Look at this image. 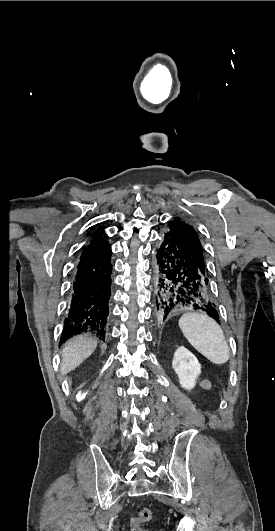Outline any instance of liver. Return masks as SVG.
I'll return each instance as SVG.
<instances>
[{
    "label": "liver",
    "mask_w": 275,
    "mask_h": 531,
    "mask_svg": "<svg viewBox=\"0 0 275 531\" xmlns=\"http://www.w3.org/2000/svg\"><path fill=\"white\" fill-rule=\"evenodd\" d=\"M96 347V339L89 335H77L74 339H70L62 351L61 375L74 371L94 353Z\"/></svg>",
    "instance_id": "1"
}]
</instances>
